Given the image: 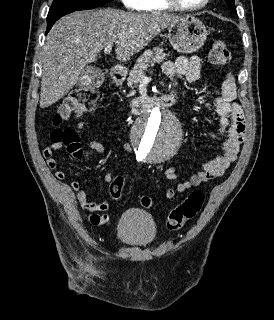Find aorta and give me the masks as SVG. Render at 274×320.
<instances>
[{"mask_svg":"<svg viewBox=\"0 0 274 320\" xmlns=\"http://www.w3.org/2000/svg\"><path fill=\"white\" fill-rule=\"evenodd\" d=\"M132 138L141 159L160 163L177 153L183 132L171 111L155 107L137 122Z\"/></svg>","mask_w":274,"mask_h":320,"instance_id":"aorta-1","label":"aorta"}]
</instances>
